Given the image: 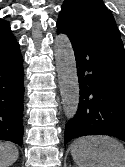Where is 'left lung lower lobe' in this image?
I'll return each mask as SVG.
<instances>
[{
  "label": "left lung lower lobe",
  "mask_w": 125,
  "mask_h": 167,
  "mask_svg": "<svg viewBox=\"0 0 125 167\" xmlns=\"http://www.w3.org/2000/svg\"><path fill=\"white\" fill-rule=\"evenodd\" d=\"M65 33L76 58L80 101L66 125L64 144L86 135H110L125 141V54L119 33L112 29Z\"/></svg>",
  "instance_id": "obj_1"
}]
</instances>
